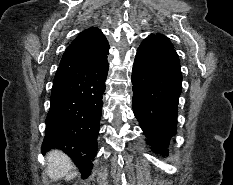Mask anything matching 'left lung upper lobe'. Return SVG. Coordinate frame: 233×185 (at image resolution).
Wrapping results in <instances>:
<instances>
[{
	"label": "left lung upper lobe",
	"mask_w": 233,
	"mask_h": 185,
	"mask_svg": "<svg viewBox=\"0 0 233 185\" xmlns=\"http://www.w3.org/2000/svg\"><path fill=\"white\" fill-rule=\"evenodd\" d=\"M150 36L155 37V38L169 44L170 46H173L172 43L169 41V39L162 34H159V33L157 35L151 34Z\"/></svg>",
	"instance_id": "obj_1"
}]
</instances>
